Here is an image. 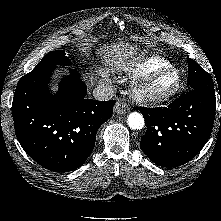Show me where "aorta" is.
<instances>
[{"label": "aorta", "instance_id": "obj_1", "mask_svg": "<svg viewBox=\"0 0 221 221\" xmlns=\"http://www.w3.org/2000/svg\"><path fill=\"white\" fill-rule=\"evenodd\" d=\"M127 124L132 130H140L144 127L145 121L140 113L132 112L127 118Z\"/></svg>", "mask_w": 221, "mask_h": 221}]
</instances>
